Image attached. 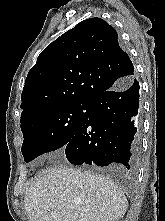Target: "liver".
<instances>
[{
    "label": "liver",
    "instance_id": "liver-1",
    "mask_svg": "<svg viewBox=\"0 0 165 221\" xmlns=\"http://www.w3.org/2000/svg\"><path fill=\"white\" fill-rule=\"evenodd\" d=\"M127 205L109 178L61 166L37 174L24 197L30 221H115Z\"/></svg>",
    "mask_w": 165,
    "mask_h": 221
}]
</instances>
